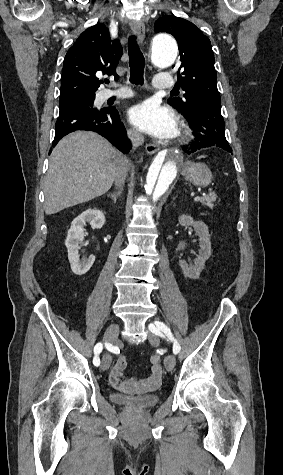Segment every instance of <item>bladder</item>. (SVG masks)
I'll use <instances>...</instances> for the list:
<instances>
[{"mask_svg": "<svg viewBox=\"0 0 283 475\" xmlns=\"http://www.w3.org/2000/svg\"><path fill=\"white\" fill-rule=\"evenodd\" d=\"M113 400L118 404H126L131 407L145 410L156 406L160 400V395L158 393L153 395L142 394L139 397H134L116 392Z\"/></svg>", "mask_w": 283, "mask_h": 475, "instance_id": "bladder-1", "label": "bladder"}]
</instances>
